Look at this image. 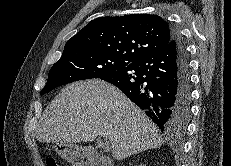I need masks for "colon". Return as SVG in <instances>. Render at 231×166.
<instances>
[{
    "label": "colon",
    "instance_id": "obj_1",
    "mask_svg": "<svg viewBox=\"0 0 231 166\" xmlns=\"http://www.w3.org/2000/svg\"><path fill=\"white\" fill-rule=\"evenodd\" d=\"M46 166H58L54 158H48L46 161Z\"/></svg>",
    "mask_w": 231,
    "mask_h": 166
}]
</instances>
